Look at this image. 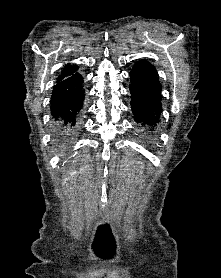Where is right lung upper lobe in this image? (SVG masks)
<instances>
[{
	"instance_id": "right-lung-upper-lobe-1",
	"label": "right lung upper lobe",
	"mask_w": 221,
	"mask_h": 278,
	"mask_svg": "<svg viewBox=\"0 0 221 278\" xmlns=\"http://www.w3.org/2000/svg\"><path fill=\"white\" fill-rule=\"evenodd\" d=\"M78 68L79 67L77 65H71V64L65 65L61 74L57 78V82L65 79L67 77H70L75 73H77Z\"/></svg>"
}]
</instances>
